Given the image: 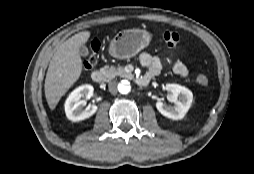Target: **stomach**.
I'll return each mask as SVG.
<instances>
[{"label": "stomach", "mask_w": 254, "mask_h": 174, "mask_svg": "<svg viewBox=\"0 0 254 174\" xmlns=\"http://www.w3.org/2000/svg\"><path fill=\"white\" fill-rule=\"evenodd\" d=\"M151 39L152 35L144 29L120 31L110 43L109 54L118 59L133 57L147 47Z\"/></svg>", "instance_id": "1"}]
</instances>
